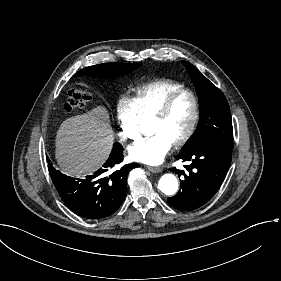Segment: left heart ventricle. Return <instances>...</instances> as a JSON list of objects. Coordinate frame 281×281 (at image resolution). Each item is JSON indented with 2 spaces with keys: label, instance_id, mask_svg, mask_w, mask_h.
Listing matches in <instances>:
<instances>
[{
  "label": "left heart ventricle",
  "instance_id": "left-heart-ventricle-1",
  "mask_svg": "<svg viewBox=\"0 0 281 281\" xmlns=\"http://www.w3.org/2000/svg\"><path fill=\"white\" fill-rule=\"evenodd\" d=\"M192 110L191 99L188 96L179 97L162 118L147 120L148 136L161 133L171 142L180 138L190 124Z\"/></svg>",
  "mask_w": 281,
  "mask_h": 281
}]
</instances>
